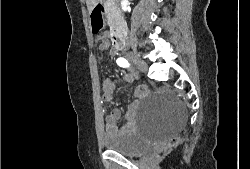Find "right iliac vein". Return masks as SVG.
Returning a JSON list of instances; mask_svg holds the SVG:
<instances>
[{"label":"right iliac vein","instance_id":"63e3f726","mask_svg":"<svg viewBox=\"0 0 250 169\" xmlns=\"http://www.w3.org/2000/svg\"><path fill=\"white\" fill-rule=\"evenodd\" d=\"M129 60L135 64L139 69L145 71L147 69V64L141 60L137 55L131 54Z\"/></svg>","mask_w":250,"mask_h":169}]
</instances>
